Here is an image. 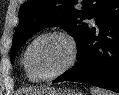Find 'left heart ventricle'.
<instances>
[{
	"label": "left heart ventricle",
	"mask_w": 119,
	"mask_h": 95,
	"mask_svg": "<svg viewBox=\"0 0 119 95\" xmlns=\"http://www.w3.org/2000/svg\"><path fill=\"white\" fill-rule=\"evenodd\" d=\"M70 47L66 40L58 36L39 40L30 53V65L40 76H48L58 71L68 60Z\"/></svg>",
	"instance_id": "b2bd125f"
}]
</instances>
